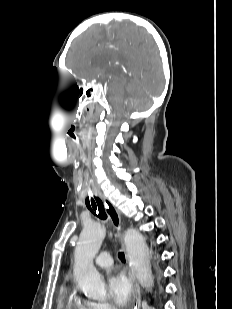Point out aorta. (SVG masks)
<instances>
[{
  "label": "aorta",
  "mask_w": 232,
  "mask_h": 309,
  "mask_svg": "<svg viewBox=\"0 0 232 309\" xmlns=\"http://www.w3.org/2000/svg\"><path fill=\"white\" fill-rule=\"evenodd\" d=\"M105 237L104 227L90 221L85 224L75 248L74 280L83 293L95 300L106 298L105 282L93 265ZM129 265L142 287L151 289L154 279L146 240L136 229H128L124 237Z\"/></svg>",
  "instance_id": "obj_1"
}]
</instances>
